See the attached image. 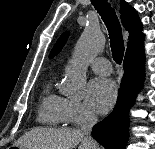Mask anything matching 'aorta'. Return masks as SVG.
Instances as JSON below:
<instances>
[{
	"instance_id": "1",
	"label": "aorta",
	"mask_w": 155,
	"mask_h": 149,
	"mask_svg": "<svg viewBox=\"0 0 155 149\" xmlns=\"http://www.w3.org/2000/svg\"><path fill=\"white\" fill-rule=\"evenodd\" d=\"M104 44L105 38L98 27H85L65 71L61 85V91L65 96L73 98L84 96L88 63L93 56L103 49Z\"/></svg>"
}]
</instances>
